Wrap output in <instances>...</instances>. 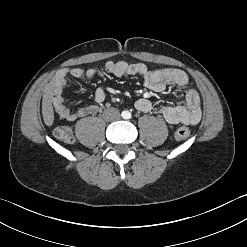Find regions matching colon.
<instances>
[{"label":"colon","instance_id":"5ec220e1","mask_svg":"<svg viewBox=\"0 0 247 247\" xmlns=\"http://www.w3.org/2000/svg\"><path fill=\"white\" fill-rule=\"evenodd\" d=\"M54 136L64 142H71L73 140L72 130L68 126H57L53 130ZM191 131L186 127H180L175 131V139L178 141L187 139Z\"/></svg>","mask_w":247,"mask_h":247}]
</instances>
